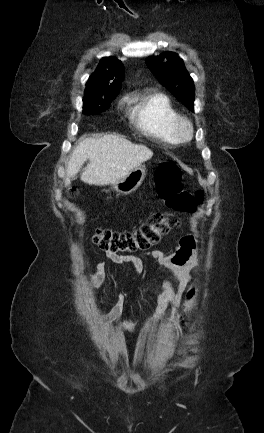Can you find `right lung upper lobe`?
I'll list each match as a JSON object with an SVG mask.
<instances>
[{"label": "right lung upper lobe", "mask_w": 264, "mask_h": 433, "mask_svg": "<svg viewBox=\"0 0 264 433\" xmlns=\"http://www.w3.org/2000/svg\"><path fill=\"white\" fill-rule=\"evenodd\" d=\"M124 79V66L115 57L101 60L86 83L85 99H107L116 97Z\"/></svg>", "instance_id": "obj_1"}]
</instances>
